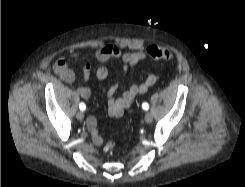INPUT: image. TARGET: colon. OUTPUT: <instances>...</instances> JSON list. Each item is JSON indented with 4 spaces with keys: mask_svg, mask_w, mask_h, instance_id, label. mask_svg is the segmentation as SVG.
I'll list each match as a JSON object with an SVG mask.
<instances>
[{
    "mask_svg": "<svg viewBox=\"0 0 245 187\" xmlns=\"http://www.w3.org/2000/svg\"><path fill=\"white\" fill-rule=\"evenodd\" d=\"M147 54L151 59L162 63H170L173 60V54L170 50L157 45L149 46L147 48ZM114 148V143L112 141H107L104 146V151L112 153Z\"/></svg>",
    "mask_w": 245,
    "mask_h": 187,
    "instance_id": "1",
    "label": "colon"
}]
</instances>
